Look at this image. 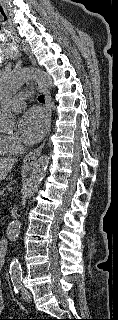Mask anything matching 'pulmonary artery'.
<instances>
[{
	"mask_svg": "<svg viewBox=\"0 0 118 320\" xmlns=\"http://www.w3.org/2000/svg\"><path fill=\"white\" fill-rule=\"evenodd\" d=\"M8 105L13 111L18 112L24 108L25 102L22 99L13 98L8 101Z\"/></svg>",
	"mask_w": 118,
	"mask_h": 320,
	"instance_id": "1",
	"label": "pulmonary artery"
}]
</instances>
